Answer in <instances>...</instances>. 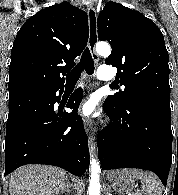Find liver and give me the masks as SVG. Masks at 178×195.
<instances>
[{"mask_svg":"<svg viewBox=\"0 0 178 195\" xmlns=\"http://www.w3.org/2000/svg\"><path fill=\"white\" fill-rule=\"evenodd\" d=\"M65 170L53 166L27 165L15 170L9 180L10 195H57L65 187Z\"/></svg>","mask_w":178,"mask_h":195,"instance_id":"1","label":"liver"}]
</instances>
